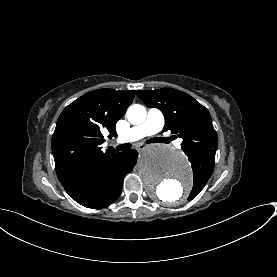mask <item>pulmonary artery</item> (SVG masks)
<instances>
[{
	"mask_svg": "<svg viewBox=\"0 0 277 277\" xmlns=\"http://www.w3.org/2000/svg\"><path fill=\"white\" fill-rule=\"evenodd\" d=\"M131 115V114H130ZM147 121L142 124L133 126L126 136V140H136L151 133H159L164 128V118L162 110L153 106L147 110Z\"/></svg>",
	"mask_w": 277,
	"mask_h": 277,
	"instance_id": "obj_1",
	"label": "pulmonary artery"
}]
</instances>
